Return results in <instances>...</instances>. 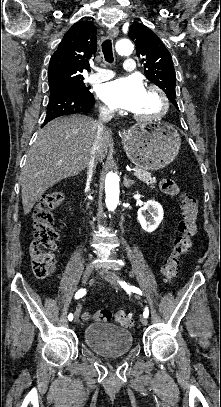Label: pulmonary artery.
Segmentation results:
<instances>
[{
    "instance_id": "1",
    "label": "pulmonary artery",
    "mask_w": 221,
    "mask_h": 407,
    "mask_svg": "<svg viewBox=\"0 0 221 407\" xmlns=\"http://www.w3.org/2000/svg\"><path fill=\"white\" fill-rule=\"evenodd\" d=\"M123 67L125 72L132 73L136 70V64L133 56L124 57ZM114 72L107 68H100L98 73L91 75L88 79L90 83H100L111 79L114 76Z\"/></svg>"
}]
</instances>
